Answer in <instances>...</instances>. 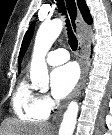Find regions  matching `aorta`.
I'll use <instances>...</instances> for the list:
<instances>
[{
  "instance_id": "1",
  "label": "aorta",
  "mask_w": 112,
  "mask_h": 135,
  "mask_svg": "<svg viewBox=\"0 0 112 135\" xmlns=\"http://www.w3.org/2000/svg\"><path fill=\"white\" fill-rule=\"evenodd\" d=\"M62 28V20L56 18L50 22L43 23L36 34L30 65L31 81L36 88L45 90L49 86V75L45 56L61 33ZM78 111V103L72 101L63 114L58 135H73Z\"/></svg>"
}]
</instances>
